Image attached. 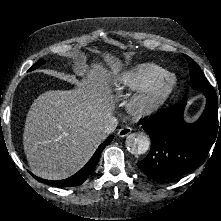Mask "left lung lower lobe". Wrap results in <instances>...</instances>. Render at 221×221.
I'll return each mask as SVG.
<instances>
[{"instance_id":"0a47b994","label":"left lung lower lobe","mask_w":221,"mask_h":221,"mask_svg":"<svg viewBox=\"0 0 221 221\" xmlns=\"http://www.w3.org/2000/svg\"><path fill=\"white\" fill-rule=\"evenodd\" d=\"M203 94L207 100L205 110L192 124L183 119L186 103L170 106L140 121L151 138V149L137 165L148 177L167 180L195 170L206 160L216 138L221 139V94L220 101L214 89Z\"/></svg>"}]
</instances>
